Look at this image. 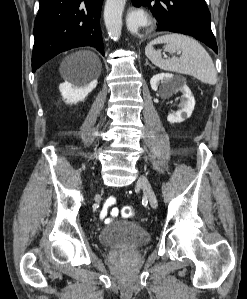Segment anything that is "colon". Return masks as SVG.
<instances>
[{"mask_svg":"<svg viewBox=\"0 0 247 299\" xmlns=\"http://www.w3.org/2000/svg\"><path fill=\"white\" fill-rule=\"evenodd\" d=\"M121 214L124 218H132L135 215V210L132 206H124L121 210Z\"/></svg>","mask_w":247,"mask_h":299,"instance_id":"obj_1","label":"colon"}]
</instances>
